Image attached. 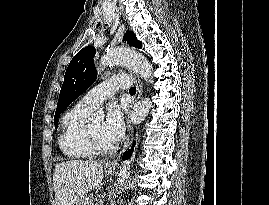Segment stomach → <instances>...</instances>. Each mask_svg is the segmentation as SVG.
<instances>
[{"label":"stomach","mask_w":269,"mask_h":205,"mask_svg":"<svg viewBox=\"0 0 269 205\" xmlns=\"http://www.w3.org/2000/svg\"><path fill=\"white\" fill-rule=\"evenodd\" d=\"M104 171L107 175H112L114 172V166L111 164H106ZM73 205H94V202L92 196L83 194L78 196Z\"/></svg>","instance_id":"obj_1"}]
</instances>
